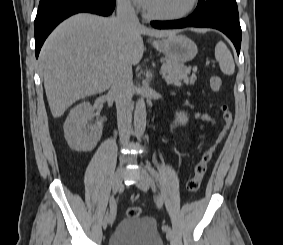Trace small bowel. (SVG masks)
Returning <instances> with one entry per match:
<instances>
[{
    "label": "small bowel",
    "mask_w": 283,
    "mask_h": 245,
    "mask_svg": "<svg viewBox=\"0 0 283 245\" xmlns=\"http://www.w3.org/2000/svg\"><path fill=\"white\" fill-rule=\"evenodd\" d=\"M195 117L202 122L200 130H203L206 125L212 126L214 124V119L207 113L196 112ZM175 127L176 125L173 123L170 128L171 132L174 131ZM200 137H203V135L201 134Z\"/></svg>",
    "instance_id": "1"
}]
</instances>
